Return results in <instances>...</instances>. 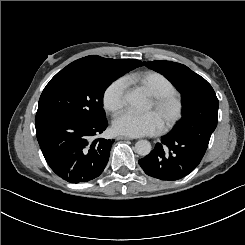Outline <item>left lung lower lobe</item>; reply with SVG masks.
Segmentation results:
<instances>
[{"label":"left lung lower lobe","mask_w":245,"mask_h":245,"mask_svg":"<svg viewBox=\"0 0 245 245\" xmlns=\"http://www.w3.org/2000/svg\"><path fill=\"white\" fill-rule=\"evenodd\" d=\"M199 112L185 114L155 148L139 160L144 172L163 181L190 174L201 162L217 126L218 99L208 96Z\"/></svg>","instance_id":"left-lung-lower-lobe-1"}]
</instances>
